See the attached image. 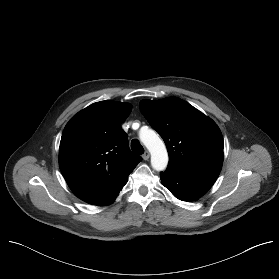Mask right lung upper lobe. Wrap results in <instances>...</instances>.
Returning <instances> with one entry per match:
<instances>
[{"label":"right lung upper lobe","mask_w":279,"mask_h":279,"mask_svg":"<svg viewBox=\"0 0 279 279\" xmlns=\"http://www.w3.org/2000/svg\"><path fill=\"white\" fill-rule=\"evenodd\" d=\"M131 105L101 101L78 112L67 123L60 142L59 167L73 193L92 202L126 184L141 161L128 146L120 124Z\"/></svg>","instance_id":"right-lung-upper-lobe-1"}]
</instances>
